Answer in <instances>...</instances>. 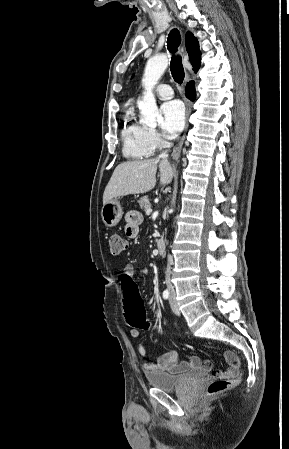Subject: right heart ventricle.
<instances>
[{
	"label": "right heart ventricle",
	"mask_w": 289,
	"mask_h": 449,
	"mask_svg": "<svg viewBox=\"0 0 289 449\" xmlns=\"http://www.w3.org/2000/svg\"><path fill=\"white\" fill-rule=\"evenodd\" d=\"M121 136L126 157L142 159L152 154L153 148L146 138V127L135 121L132 113L126 115Z\"/></svg>",
	"instance_id": "1"
}]
</instances>
